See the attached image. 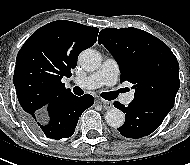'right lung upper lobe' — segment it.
Segmentation results:
<instances>
[{
  "mask_svg": "<svg viewBox=\"0 0 190 165\" xmlns=\"http://www.w3.org/2000/svg\"><path fill=\"white\" fill-rule=\"evenodd\" d=\"M99 29L54 21L35 31L18 52L13 82L24 114L34 115L55 98L71 94L61 82L70 77L79 53L97 40Z\"/></svg>",
  "mask_w": 190,
  "mask_h": 165,
  "instance_id": "obj_1",
  "label": "right lung upper lobe"
}]
</instances>
